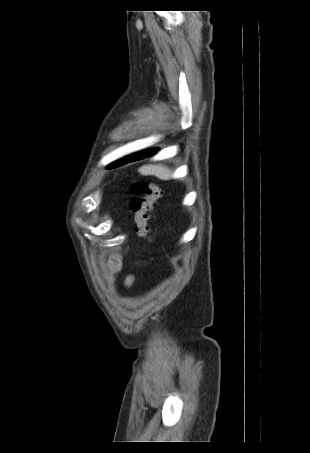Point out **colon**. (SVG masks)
<instances>
[{
	"mask_svg": "<svg viewBox=\"0 0 310 453\" xmlns=\"http://www.w3.org/2000/svg\"><path fill=\"white\" fill-rule=\"evenodd\" d=\"M133 195L131 210L134 214V230L138 237L148 240L150 237L149 220L154 206L162 197L161 189L153 182L136 180L130 186Z\"/></svg>",
	"mask_w": 310,
	"mask_h": 453,
	"instance_id": "5ec220e1",
	"label": "colon"
}]
</instances>
